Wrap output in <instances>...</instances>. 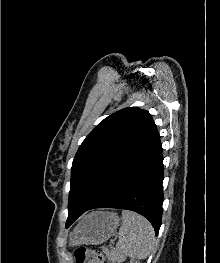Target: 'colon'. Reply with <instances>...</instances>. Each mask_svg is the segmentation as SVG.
<instances>
[{"instance_id": "5ec220e1", "label": "colon", "mask_w": 220, "mask_h": 263, "mask_svg": "<svg viewBox=\"0 0 220 263\" xmlns=\"http://www.w3.org/2000/svg\"><path fill=\"white\" fill-rule=\"evenodd\" d=\"M74 259L76 263H107V259L99 252L89 250L84 247L77 248L74 251Z\"/></svg>"}]
</instances>
